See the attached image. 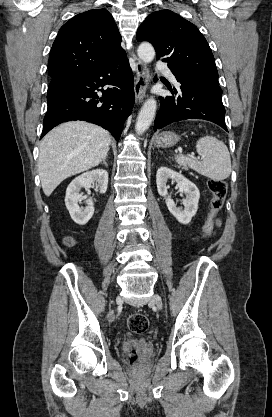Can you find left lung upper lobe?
I'll return each instance as SVG.
<instances>
[{
  "label": "left lung upper lobe",
  "mask_w": 272,
  "mask_h": 417,
  "mask_svg": "<svg viewBox=\"0 0 272 417\" xmlns=\"http://www.w3.org/2000/svg\"><path fill=\"white\" fill-rule=\"evenodd\" d=\"M137 41L153 44L157 59L181 75L212 91L222 93L211 49L197 27L170 10L149 15L137 30Z\"/></svg>",
  "instance_id": "1"
}]
</instances>
